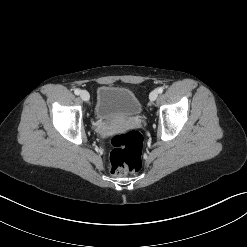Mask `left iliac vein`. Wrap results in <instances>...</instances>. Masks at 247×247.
<instances>
[{
  "instance_id": "obj_1",
  "label": "left iliac vein",
  "mask_w": 247,
  "mask_h": 247,
  "mask_svg": "<svg viewBox=\"0 0 247 247\" xmlns=\"http://www.w3.org/2000/svg\"><path fill=\"white\" fill-rule=\"evenodd\" d=\"M157 97H158V92H157V90H153V91L150 93V95H149V99H150L151 101H155V100L157 99Z\"/></svg>"
}]
</instances>
